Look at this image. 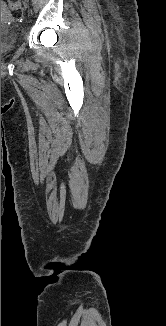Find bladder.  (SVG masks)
<instances>
[{"instance_id": "1", "label": "bladder", "mask_w": 166, "mask_h": 326, "mask_svg": "<svg viewBox=\"0 0 166 326\" xmlns=\"http://www.w3.org/2000/svg\"><path fill=\"white\" fill-rule=\"evenodd\" d=\"M5 11H7V8L1 3V13ZM17 36V31L15 29L1 26V54L12 49L16 43Z\"/></svg>"}]
</instances>
